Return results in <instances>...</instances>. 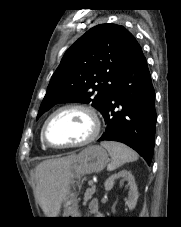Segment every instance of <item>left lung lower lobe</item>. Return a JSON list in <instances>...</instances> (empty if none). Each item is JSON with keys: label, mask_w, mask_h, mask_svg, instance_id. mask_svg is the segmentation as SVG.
<instances>
[{"label": "left lung lower lobe", "mask_w": 181, "mask_h": 227, "mask_svg": "<svg viewBox=\"0 0 181 227\" xmlns=\"http://www.w3.org/2000/svg\"><path fill=\"white\" fill-rule=\"evenodd\" d=\"M116 107L121 109L116 111ZM103 116L107 128L99 141L122 142L150 164L155 145L157 114L155 91L141 47L116 84Z\"/></svg>", "instance_id": "obj_1"}]
</instances>
